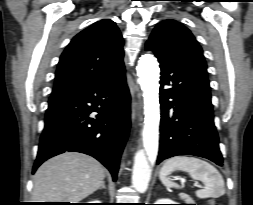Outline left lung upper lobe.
I'll list each match as a JSON object with an SVG mask.
<instances>
[{"label": "left lung upper lobe", "instance_id": "obj_1", "mask_svg": "<svg viewBox=\"0 0 253 205\" xmlns=\"http://www.w3.org/2000/svg\"><path fill=\"white\" fill-rule=\"evenodd\" d=\"M146 44L171 54L195 67L207 77V64L200 45L185 26L175 20L159 23Z\"/></svg>", "mask_w": 253, "mask_h": 205}]
</instances>
